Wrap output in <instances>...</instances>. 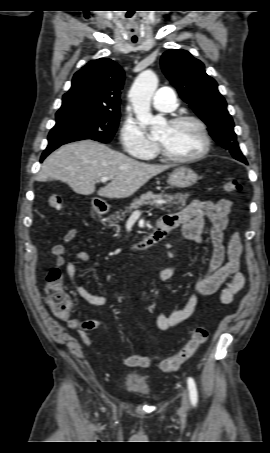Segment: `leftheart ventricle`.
<instances>
[{
  "label": "left heart ventricle",
  "instance_id": "1",
  "mask_svg": "<svg viewBox=\"0 0 270 453\" xmlns=\"http://www.w3.org/2000/svg\"><path fill=\"white\" fill-rule=\"evenodd\" d=\"M156 140L165 150L177 157L194 155L203 147V139L199 128L191 122L177 125L166 123L160 129Z\"/></svg>",
  "mask_w": 270,
  "mask_h": 453
}]
</instances>
